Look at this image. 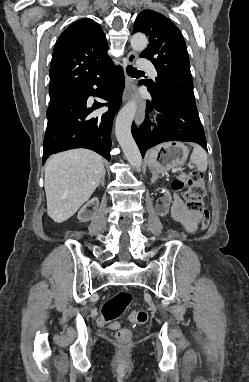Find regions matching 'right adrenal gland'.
Returning a JSON list of instances; mask_svg holds the SVG:
<instances>
[{"mask_svg":"<svg viewBox=\"0 0 249 382\" xmlns=\"http://www.w3.org/2000/svg\"><path fill=\"white\" fill-rule=\"evenodd\" d=\"M105 174H106V170H104V173H103V175H102V178H101V180H100V182H99V184H101L102 186H104ZM99 184H98V185H99Z\"/></svg>","mask_w":249,"mask_h":382,"instance_id":"right-adrenal-gland-1","label":"right adrenal gland"}]
</instances>
